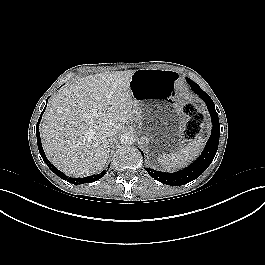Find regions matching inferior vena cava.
Instances as JSON below:
<instances>
[{
  "instance_id": "inferior-vena-cava-1",
  "label": "inferior vena cava",
  "mask_w": 265,
  "mask_h": 265,
  "mask_svg": "<svg viewBox=\"0 0 265 265\" xmlns=\"http://www.w3.org/2000/svg\"><path fill=\"white\" fill-rule=\"evenodd\" d=\"M101 133L106 137H112L117 133V130L111 122H106L101 128Z\"/></svg>"
}]
</instances>
